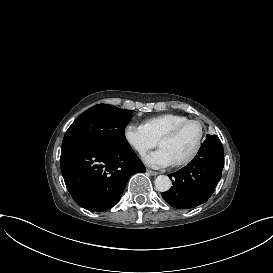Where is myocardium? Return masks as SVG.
<instances>
[{
    "label": "myocardium",
    "instance_id": "1",
    "mask_svg": "<svg viewBox=\"0 0 273 273\" xmlns=\"http://www.w3.org/2000/svg\"><path fill=\"white\" fill-rule=\"evenodd\" d=\"M191 124H197L199 126V137H198L196 145H195L193 151L191 152V154L187 158H185L184 160L174 163V165L177 167H182V166H186V165L190 164L191 162H193L195 160V158L200 153L202 145H203V141H204V136H205L204 124L200 120L190 119L178 126H175L174 128L170 129L169 131L165 132L158 140V145H160L163 140L175 137L176 135H178L181 131H183L185 128H187Z\"/></svg>",
    "mask_w": 273,
    "mask_h": 273
}]
</instances>
